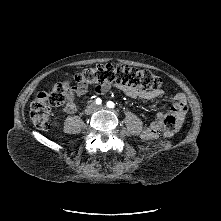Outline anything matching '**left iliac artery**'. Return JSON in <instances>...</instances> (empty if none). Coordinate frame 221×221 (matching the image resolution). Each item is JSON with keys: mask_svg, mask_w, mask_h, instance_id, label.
<instances>
[{"mask_svg": "<svg viewBox=\"0 0 221 221\" xmlns=\"http://www.w3.org/2000/svg\"><path fill=\"white\" fill-rule=\"evenodd\" d=\"M107 107L114 108V103L111 101L107 102Z\"/></svg>", "mask_w": 221, "mask_h": 221, "instance_id": "1", "label": "left iliac artery"}]
</instances>
